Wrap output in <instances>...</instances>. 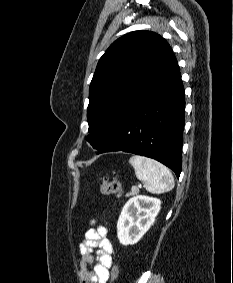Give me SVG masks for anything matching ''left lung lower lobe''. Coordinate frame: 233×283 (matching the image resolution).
<instances>
[{
	"mask_svg": "<svg viewBox=\"0 0 233 283\" xmlns=\"http://www.w3.org/2000/svg\"><path fill=\"white\" fill-rule=\"evenodd\" d=\"M185 93L171 53L154 71L113 137L98 152L124 151L153 158L181 173Z\"/></svg>",
	"mask_w": 233,
	"mask_h": 283,
	"instance_id": "left-lung-lower-lobe-1",
	"label": "left lung lower lobe"
}]
</instances>
